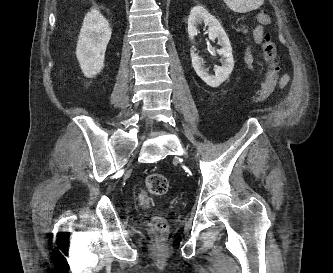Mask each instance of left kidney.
I'll use <instances>...</instances> for the list:
<instances>
[{"mask_svg":"<svg viewBox=\"0 0 333 273\" xmlns=\"http://www.w3.org/2000/svg\"><path fill=\"white\" fill-rule=\"evenodd\" d=\"M204 23L208 25V35L210 40L218 39L221 49L217 53L222 56V66H218L215 70V75H209L203 68V59L195 54L196 49L192 47L191 60L192 66L197 75L209 86L218 87L231 74L234 67V59L232 55V47L227 34L219 21L212 16L204 7L197 5L191 9L188 18V35L191 41L197 35V25Z\"/></svg>","mask_w":333,"mask_h":273,"instance_id":"1","label":"left kidney"}]
</instances>
